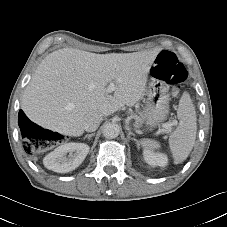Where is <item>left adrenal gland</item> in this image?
Segmentation results:
<instances>
[{
	"label": "left adrenal gland",
	"mask_w": 227,
	"mask_h": 227,
	"mask_svg": "<svg viewBox=\"0 0 227 227\" xmlns=\"http://www.w3.org/2000/svg\"><path fill=\"white\" fill-rule=\"evenodd\" d=\"M126 130H128V136L127 137L129 139L133 140L135 143H138V141L134 137L135 134L131 131V129L128 126H126ZM130 136H133V137L131 138Z\"/></svg>",
	"instance_id": "obj_1"
}]
</instances>
